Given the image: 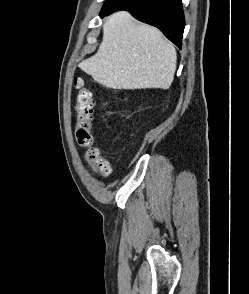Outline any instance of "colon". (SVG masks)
Here are the masks:
<instances>
[{"instance_id": "5ec220e1", "label": "colon", "mask_w": 249, "mask_h": 294, "mask_svg": "<svg viewBox=\"0 0 249 294\" xmlns=\"http://www.w3.org/2000/svg\"><path fill=\"white\" fill-rule=\"evenodd\" d=\"M77 89L75 102V136L77 144L84 150L86 163L100 176L107 177L111 173L109 161L101 155L95 146L93 133L94 99L92 92L80 78L74 81Z\"/></svg>"}]
</instances>
